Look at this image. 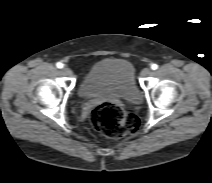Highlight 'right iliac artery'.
I'll use <instances>...</instances> for the list:
<instances>
[{
    "label": "right iliac artery",
    "instance_id": "right-iliac-artery-1",
    "mask_svg": "<svg viewBox=\"0 0 212 183\" xmlns=\"http://www.w3.org/2000/svg\"><path fill=\"white\" fill-rule=\"evenodd\" d=\"M56 66H57V68H63V64L61 63V62H58L57 64H56Z\"/></svg>",
    "mask_w": 212,
    "mask_h": 183
}]
</instances>
